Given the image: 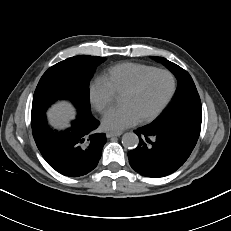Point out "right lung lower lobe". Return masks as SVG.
<instances>
[{
  "instance_id": "right-lung-lower-lobe-1",
  "label": "right lung lower lobe",
  "mask_w": 231,
  "mask_h": 231,
  "mask_svg": "<svg viewBox=\"0 0 231 231\" xmlns=\"http://www.w3.org/2000/svg\"><path fill=\"white\" fill-rule=\"evenodd\" d=\"M99 122L91 113L78 112L72 126L65 131L51 129L45 111L31 114L36 145L48 164L69 177L83 176L98 164L106 142L104 133H96Z\"/></svg>"
}]
</instances>
